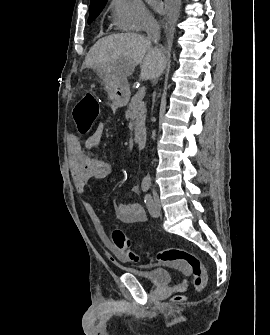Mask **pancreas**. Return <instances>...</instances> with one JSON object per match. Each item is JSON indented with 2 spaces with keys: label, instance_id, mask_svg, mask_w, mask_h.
I'll use <instances>...</instances> for the list:
<instances>
[{
  "label": "pancreas",
  "instance_id": "pancreas-1",
  "mask_svg": "<svg viewBox=\"0 0 270 335\" xmlns=\"http://www.w3.org/2000/svg\"><path fill=\"white\" fill-rule=\"evenodd\" d=\"M129 112L128 118H131L133 120V124H135V134H139L141 128L140 124H145L146 120V110H139L138 106H132V104H129Z\"/></svg>",
  "mask_w": 270,
  "mask_h": 335
}]
</instances>
